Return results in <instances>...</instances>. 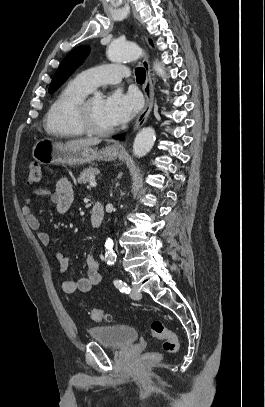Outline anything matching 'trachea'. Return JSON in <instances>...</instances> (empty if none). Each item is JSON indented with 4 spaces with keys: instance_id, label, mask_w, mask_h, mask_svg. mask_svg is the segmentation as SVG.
<instances>
[{
    "instance_id": "1",
    "label": "trachea",
    "mask_w": 265,
    "mask_h": 407,
    "mask_svg": "<svg viewBox=\"0 0 265 407\" xmlns=\"http://www.w3.org/2000/svg\"><path fill=\"white\" fill-rule=\"evenodd\" d=\"M135 74H136V79L138 83H143L145 81L146 78V73L144 68L139 67L135 70Z\"/></svg>"
}]
</instances>
